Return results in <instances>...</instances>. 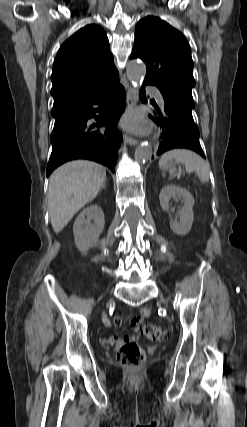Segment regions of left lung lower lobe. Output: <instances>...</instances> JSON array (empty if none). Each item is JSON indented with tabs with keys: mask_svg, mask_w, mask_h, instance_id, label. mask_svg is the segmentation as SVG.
<instances>
[{
	"mask_svg": "<svg viewBox=\"0 0 247 427\" xmlns=\"http://www.w3.org/2000/svg\"><path fill=\"white\" fill-rule=\"evenodd\" d=\"M143 85L145 86L146 83ZM139 96L144 103L147 102L143 89ZM164 102L165 106L162 110L155 105L154 116L149 115L163 129L157 155L171 149L185 148L193 150L205 158L199 142V130L193 120L191 110L165 98Z\"/></svg>",
	"mask_w": 247,
	"mask_h": 427,
	"instance_id": "obj_1",
	"label": "left lung lower lobe"
}]
</instances>
